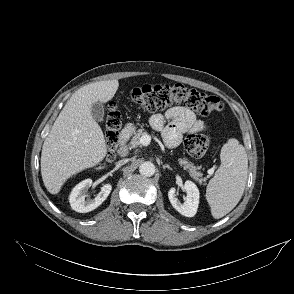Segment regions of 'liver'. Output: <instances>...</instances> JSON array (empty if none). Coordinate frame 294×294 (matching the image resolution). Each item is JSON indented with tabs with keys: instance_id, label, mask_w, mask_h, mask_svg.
Returning a JSON list of instances; mask_svg holds the SVG:
<instances>
[{
	"instance_id": "6515ba94",
	"label": "liver",
	"mask_w": 294,
	"mask_h": 294,
	"mask_svg": "<svg viewBox=\"0 0 294 294\" xmlns=\"http://www.w3.org/2000/svg\"><path fill=\"white\" fill-rule=\"evenodd\" d=\"M118 80L99 81L78 89L60 112L41 153V175L51 194H58L73 175L99 164L107 154L102 129L91 115L95 102L111 100Z\"/></svg>"
}]
</instances>
